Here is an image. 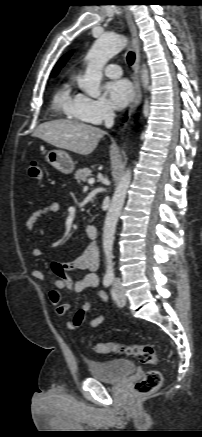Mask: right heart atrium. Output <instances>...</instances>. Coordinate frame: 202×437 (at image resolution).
Segmentation results:
<instances>
[{"label":"right heart atrium","instance_id":"1","mask_svg":"<svg viewBox=\"0 0 202 437\" xmlns=\"http://www.w3.org/2000/svg\"><path fill=\"white\" fill-rule=\"evenodd\" d=\"M77 112L82 119L91 123H100L114 115L113 106L106 98H92L84 94L78 96Z\"/></svg>","mask_w":202,"mask_h":437}]
</instances>
